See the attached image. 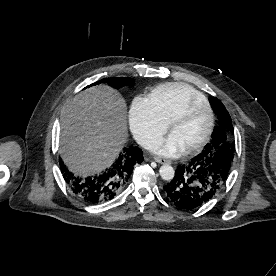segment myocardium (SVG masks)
I'll return each mask as SVG.
<instances>
[{
	"label": "myocardium",
	"mask_w": 276,
	"mask_h": 276,
	"mask_svg": "<svg viewBox=\"0 0 276 276\" xmlns=\"http://www.w3.org/2000/svg\"><path fill=\"white\" fill-rule=\"evenodd\" d=\"M199 105H203L207 109L209 113V123L204 136L197 143L193 144L192 146L186 149L187 152L189 153H193L201 150L211 138V135L214 129V124H215V113L212 106L206 99L191 100L182 110H180L177 114H175L169 122L170 128L173 130L174 126L178 122L187 118L191 114V112Z\"/></svg>",
	"instance_id": "f54148a6"
}]
</instances>
